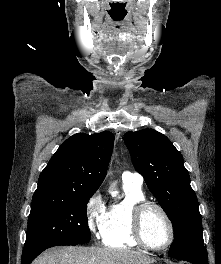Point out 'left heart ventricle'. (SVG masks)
Listing matches in <instances>:
<instances>
[{"instance_id":"b2bd125f","label":"left heart ventricle","mask_w":221,"mask_h":264,"mask_svg":"<svg viewBox=\"0 0 221 264\" xmlns=\"http://www.w3.org/2000/svg\"><path fill=\"white\" fill-rule=\"evenodd\" d=\"M143 235L152 246H162L169 239V228L162 214L155 208L146 211L143 218Z\"/></svg>"}]
</instances>
